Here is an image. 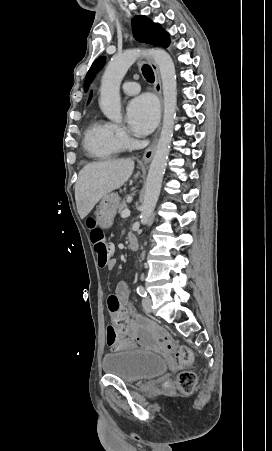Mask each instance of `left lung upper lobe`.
Segmentation results:
<instances>
[{
    "instance_id": "obj_1",
    "label": "left lung upper lobe",
    "mask_w": 272,
    "mask_h": 451,
    "mask_svg": "<svg viewBox=\"0 0 272 451\" xmlns=\"http://www.w3.org/2000/svg\"><path fill=\"white\" fill-rule=\"evenodd\" d=\"M132 31L136 40L155 46L168 47L170 44L169 34L159 25L146 16H135L132 19ZM105 57H99L89 69L84 82L85 91L88 89L94 75L104 66Z\"/></svg>"
}]
</instances>
